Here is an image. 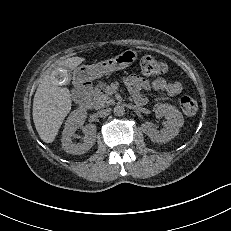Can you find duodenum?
I'll return each instance as SVG.
<instances>
[{"label":"duodenum","mask_w":231,"mask_h":231,"mask_svg":"<svg viewBox=\"0 0 231 231\" xmlns=\"http://www.w3.org/2000/svg\"><path fill=\"white\" fill-rule=\"evenodd\" d=\"M92 83L89 80L78 79L76 82L75 99L76 104L81 109H88L90 105L89 96L92 91ZM136 104L143 105L146 103V99L138 97L134 100Z\"/></svg>","instance_id":"1"}]
</instances>
